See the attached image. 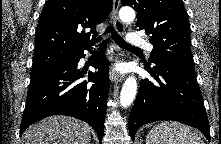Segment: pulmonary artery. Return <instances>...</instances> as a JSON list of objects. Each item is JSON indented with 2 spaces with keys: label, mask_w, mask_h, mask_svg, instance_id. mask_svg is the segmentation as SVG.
<instances>
[{
  "label": "pulmonary artery",
  "mask_w": 221,
  "mask_h": 144,
  "mask_svg": "<svg viewBox=\"0 0 221 144\" xmlns=\"http://www.w3.org/2000/svg\"><path fill=\"white\" fill-rule=\"evenodd\" d=\"M127 42L135 47H143L151 51L153 46L144 40L138 33L132 32L127 35Z\"/></svg>",
  "instance_id": "1"
}]
</instances>
